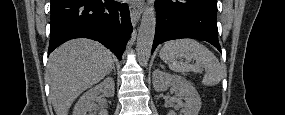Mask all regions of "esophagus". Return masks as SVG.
Segmentation results:
<instances>
[{
	"mask_svg": "<svg viewBox=\"0 0 285 115\" xmlns=\"http://www.w3.org/2000/svg\"><path fill=\"white\" fill-rule=\"evenodd\" d=\"M143 11V4L141 1H132L130 3V16L133 27L138 23L141 13Z\"/></svg>",
	"mask_w": 285,
	"mask_h": 115,
	"instance_id": "34e87169",
	"label": "esophagus"
}]
</instances>
